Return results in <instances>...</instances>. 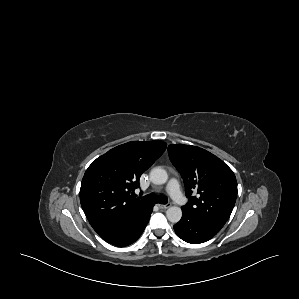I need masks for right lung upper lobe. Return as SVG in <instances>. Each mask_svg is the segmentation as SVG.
Returning <instances> with one entry per match:
<instances>
[{
	"label": "right lung upper lobe",
	"instance_id": "1",
	"mask_svg": "<svg viewBox=\"0 0 299 299\" xmlns=\"http://www.w3.org/2000/svg\"><path fill=\"white\" fill-rule=\"evenodd\" d=\"M166 146L159 140L128 142L109 150L88 167L81 183L80 202L95 231L134 220L152 206L130 194Z\"/></svg>",
	"mask_w": 299,
	"mask_h": 299
}]
</instances>
